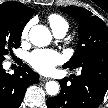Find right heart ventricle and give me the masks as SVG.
Returning <instances> with one entry per match:
<instances>
[{"mask_svg": "<svg viewBox=\"0 0 108 108\" xmlns=\"http://www.w3.org/2000/svg\"><path fill=\"white\" fill-rule=\"evenodd\" d=\"M48 22L52 30L62 28V27L68 28L67 21L62 16L57 15V14L50 15L48 17Z\"/></svg>", "mask_w": 108, "mask_h": 108, "instance_id": "obj_1", "label": "right heart ventricle"}]
</instances>
